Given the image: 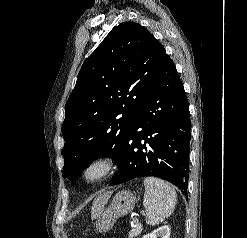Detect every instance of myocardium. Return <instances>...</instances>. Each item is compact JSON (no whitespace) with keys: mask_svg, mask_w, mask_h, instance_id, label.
<instances>
[{"mask_svg":"<svg viewBox=\"0 0 247 238\" xmlns=\"http://www.w3.org/2000/svg\"><path fill=\"white\" fill-rule=\"evenodd\" d=\"M115 168V159L105 153L91 157L81 169V179L87 184L97 183L108 177Z\"/></svg>","mask_w":247,"mask_h":238,"instance_id":"1","label":"myocardium"}]
</instances>
